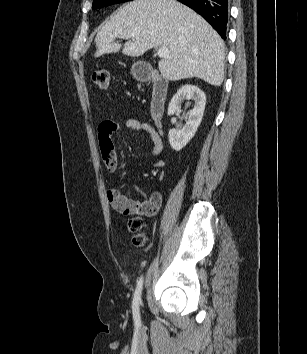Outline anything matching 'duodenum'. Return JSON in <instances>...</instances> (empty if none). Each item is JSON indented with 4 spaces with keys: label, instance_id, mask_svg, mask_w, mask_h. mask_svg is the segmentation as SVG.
Masks as SVG:
<instances>
[{
    "label": "duodenum",
    "instance_id": "1",
    "mask_svg": "<svg viewBox=\"0 0 307 354\" xmlns=\"http://www.w3.org/2000/svg\"><path fill=\"white\" fill-rule=\"evenodd\" d=\"M137 77L140 81H149L152 83L150 115L155 124L161 127L168 95V81L157 72L146 67L138 69Z\"/></svg>",
    "mask_w": 307,
    "mask_h": 354
}]
</instances>
